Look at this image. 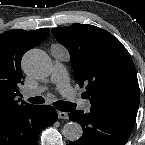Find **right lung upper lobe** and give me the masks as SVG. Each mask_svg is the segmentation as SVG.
<instances>
[{"instance_id":"cb5924a9","label":"right lung upper lobe","mask_w":145,"mask_h":145,"mask_svg":"<svg viewBox=\"0 0 145 145\" xmlns=\"http://www.w3.org/2000/svg\"><path fill=\"white\" fill-rule=\"evenodd\" d=\"M48 35L49 29L11 30L0 35V118L30 105L15 99L23 84L21 58Z\"/></svg>"}]
</instances>
